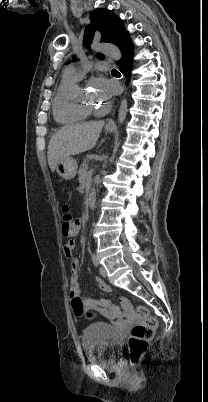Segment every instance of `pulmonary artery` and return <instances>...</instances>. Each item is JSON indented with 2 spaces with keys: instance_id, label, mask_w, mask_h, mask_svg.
Returning a JSON list of instances; mask_svg holds the SVG:
<instances>
[{
  "instance_id": "obj_1",
  "label": "pulmonary artery",
  "mask_w": 208,
  "mask_h": 402,
  "mask_svg": "<svg viewBox=\"0 0 208 402\" xmlns=\"http://www.w3.org/2000/svg\"><path fill=\"white\" fill-rule=\"evenodd\" d=\"M98 69H99L100 71H104V72H105V71H109V70L111 69V66L109 65L108 61L104 59V60H101V61L99 62ZM65 74H66L67 76L71 77V78L76 79V80L81 79L82 76H83V73L80 72V69L78 68V66L73 65V64H72V65H69V66L66 68Z\"/></svg>"
}]
</instances>
